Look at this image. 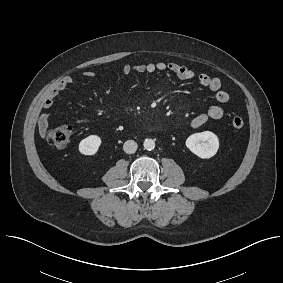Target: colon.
<instances>
[{"mask_svg": "<svg viewBox=\"0 0 283 283\" xmlns=\"http://www.w3.org/2000/svg\"><path fill=\"white\" fill-rule=\"evenodd\" d=\"M231 125L234 129H241L244 126V119L240 116H235L231 120ZM72 132V127L70 125H59L47 132L46 141L54 148L64 149L70 142Z\"/></svg>", "mask_w": 283, "mask_h": 283, "instance_id": "colon-1", "label": "colon"}]
</instances>
